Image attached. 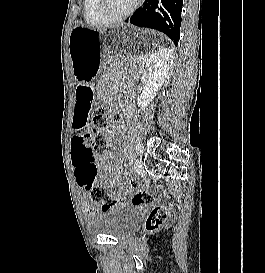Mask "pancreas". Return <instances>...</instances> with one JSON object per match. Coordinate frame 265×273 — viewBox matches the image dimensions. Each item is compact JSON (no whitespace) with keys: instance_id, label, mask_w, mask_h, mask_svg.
Instances as JSON below:
<instances>
[{"instance_id":"1","label":"pancreas","mask_w":265,"mask_h":273,"mask_svg":"<svg viewBox=\"0 0 265 273\" xmlns=\"http://www.w3.org/2000/svg\"><path fill=\"white\" fill-rule=\"evenodd\" d=\"M127 60L131 63V64H136V63H141L144 61V58H142V56L136 57V58H127Z\"/></svg>"}]
</instances>
